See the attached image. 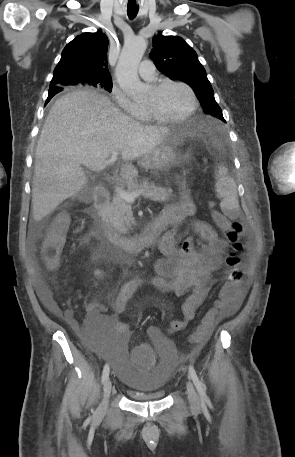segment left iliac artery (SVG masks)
<instances>
[{
	"label": "left iliac artery",
	"mask_w": 295,
	"mask_h": 457,
	"mask_svg": "<svg viewBox=\"0 0 295 457\" xmlns=\"http://www.w3.org/2000/svg\"><path fill=\"white\" fill-rule=\"evenodd\" d=\"M189 374L191 376V379L199 393V396L201 398L202 401H209L207 395H206V392H205V389L203 387V384L202 382L199 380L197 374H196V371L195 369L190 365L189 366Z\"/></svg>",
	"instance_id": "44dca946"
}]
</instances>
